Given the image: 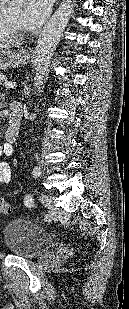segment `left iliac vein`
Listing matches in <instances>:
<instances>
[{"instance_id":"1","label":"left iliac vein","mask_w":129,"mask_h":309,"mask_svg":"<svg viewBox=\"0 0 129 309\" xmlns=\"http://www.w3.org/2000/svg\"><path fill=\"white\" fill-rule=\"evenodd\" d=\"M40 200L45 205V207H47L49 215L52 219L56 218L60 214V211L53 204L54 198L52 196L42 194L40 196Z\"/></svg>"}]
</instances>
